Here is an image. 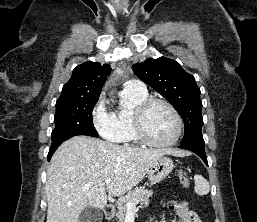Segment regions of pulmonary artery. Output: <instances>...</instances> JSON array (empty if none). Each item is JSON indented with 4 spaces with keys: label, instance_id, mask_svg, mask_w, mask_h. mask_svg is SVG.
Listing matches in <instances>:
<instances>
[{
    "label": "pulmonary artery",
    "instance_id": "pulmonary-artery-1",
    "mask_svg": "<svg viewBox=\"0 0 257 222\" xmlns=\"http://www.w3.org/2000/svg\"><path fill=\"white\" fill-rule=\"evenodd\" d=\"M124 87L129 89V90H134V91H140V92H145L146 91L145 84L142 81L138 80V79L128 80L124 84Z\"/></svg>",
    "mask_w": 257,
    "mask_h": 222
}]
</instances>
